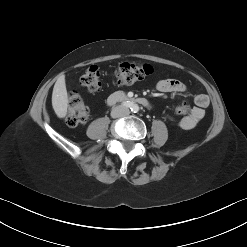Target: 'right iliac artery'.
<instances>
[{
  "label": "right iliac artery",
  "mask_w": 247,
  "mask_h": 247,
  "mask_svg": "<svg viewBox=\"0 0 247 247\" xmlns=\"http://www.w3.org/2000/svg\"><path fill=\"white\" fill-rule=\"evenodd\" d=\"M122 105L123 106H125V107H127V108H130V109H132L134 106H133V103H131V102H123L122 103Z\"/></svg>",
  "instance_id": "right-iliac-artery-1"
}]
</instances>
